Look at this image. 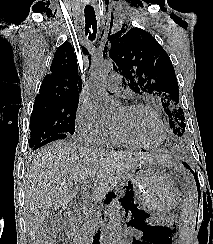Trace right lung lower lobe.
<instances>
[{
	"instance_id": "right-lung-lower-lobe-1",
	"label": "right lung lower lobe",
	"mask_w": 213,
	"mask_h": 244,
	"mask_svg": "<svg viewBox=\"0 0 213 244\" xmlns=\"http://www.w3.org/2000/svg\"><path fill=\"white\" fill-rule=\"evenodd\" d=\"M65 138H67V135L66 134H58V135L52 136V137L47 138L44 141L40 142L39 144L31 147V150H36L39 147H41V146H43L45 144H48V143H50L52 141L59 140V139H65Z\"/></svg>"
}]
</instances>
